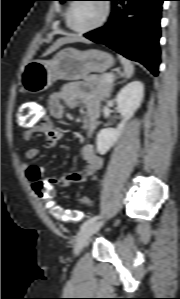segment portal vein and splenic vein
<instances>
[{
	"label": "portal vein and splenic vein",
	"instance_id": "1",
	"mask_svg": "<svg viewBox=\"0 0 180 299\" xmlns=\"http://www.w3.org/2000/svg\"><path fill=\"white\" fill-rule=\"evenodd\" d=\"M106 79L108 82H113V75L109 74Z\"/></svg>",
	"mask_w": 180,
	"mask_h": 299
}]
</instances>
